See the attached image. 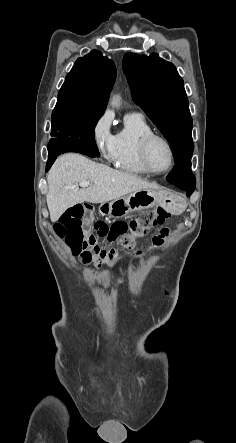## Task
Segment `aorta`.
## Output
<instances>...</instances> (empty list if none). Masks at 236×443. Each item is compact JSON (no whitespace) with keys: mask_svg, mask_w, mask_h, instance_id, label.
Here are the masks:
<instances>
[{"mask_svg":"<svg viewBox=\"0 0 236 443\" xmlns=\"http://www.w3.org/2000/svg\"><path fill=\"white\" fill-rule=\"evenodd\" d=\"M119 104V100L117 98H113L112 105L117 106Z\"/></svg>","mask_w":236,"mask_h":443,"instance_id":"aorta-1","label":"aorta"}]
</instances>
